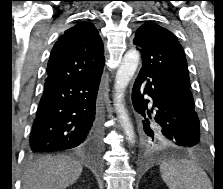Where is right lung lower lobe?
I'll return each mask as SVG.
<instances>
[{
	"label": "right lung lower lobe",
	"instance_id": "98d812e1",
	"mask_svg": "<svg viewBox=\"0 0 223 189\" xmlns=\"http://www.w3.org/2000/svg\"><path fill=\"white\" fill-rule=\"evenodd\" d=\"M101 75L46 82L30 134L29 154L96 149L101 137Z\"/></svg>",
	"mask_w": 223,
	"mask_h": 189
}]
</instances>
